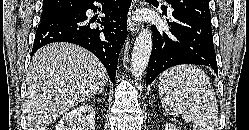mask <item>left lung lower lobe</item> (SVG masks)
<instances>
[{
  "instance_id": "obj_1",
  "label": "left lung lower lobe",
  "mask_w": 249,
  "mask_h": 130,
  "mask_svg": "<svg viewBox=\"0 0 249 130\" xmlns=\"http://www.w3.org/2000/svg\"><path fill=\"white\" fill-rule=\"evenodd\" d=\"M162 15L167 13L162 11ZM167 32L152 26L153 46L147 68L146 86L164 70L180 65H206L218 74L211 25L172 13L166 18Z\"/></svg>"
}]
</instances>
